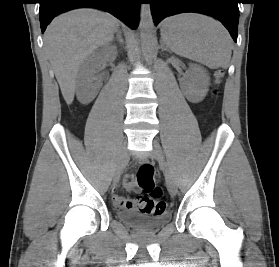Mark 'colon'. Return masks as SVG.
<instances>
[{
	"label": "colon",
	"instance_id": "obj_1",
	"mask_svg": "<svg viewBox=\"0 0 279 267\" xmlns=\"http://www.w3.org/2000/svg\"><path fill=\"white\" fill-rule=\"evenodd\" d=\"M222 77L223 71L217 70L214 79L216 86L220 83ZM216 93L217 91L214 90L213 94ZM136 183L144 193V195L137 197L135 204V207L141 213L157 216L167 212L168 204L153 198L160 194V190L155 186L154 168L150 163H143L139 167L136 173Z\"/></svg>",
	"mask_w": 279,
	"mask_h": 267
}]
</instances>
